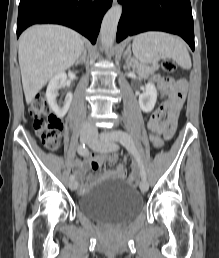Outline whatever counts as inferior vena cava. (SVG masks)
<instances>
[{"instance_id": "inferior-vena-cava-1", "label": "inferior vena cava", "mask_w": 219, "mask_h": 258, "mask_svg": "<svg viewBox=\"0 0 219 258\" xmlns=\"http://www.w3.org/2000/svg\"><path fill=\"white\" fill-rule=\"evenodd\" d=\"M83 129L86 130V131L92 132V133L97 131L94 124L92 122H89V121L84 123Z\"/></svg>"}]
</instances>
